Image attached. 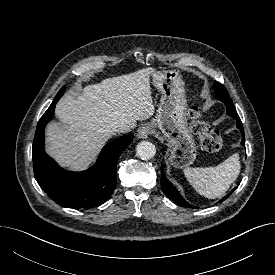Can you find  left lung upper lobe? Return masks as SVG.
Here are the masks:
<instances>
[{"instance_id":"5c2ea615","label":"left lung upper lobe","mask_w":275,"mask_h":275,"mask_svg":"<svg viewBox=\"0 0 275 275\" xmlns=\"http://www.w3.org/2000/svg\"><path fill=\"white\" fill-rule=\"evenodd\" d=\"M214 88H215L216 96L219 100L222 101L224 99H231L230 96L227 93L226 88L222 84L215 81V87Z\"/></svg>"}]
</instances>
